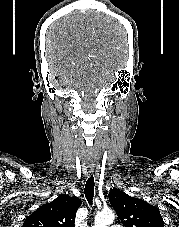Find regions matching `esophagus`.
Returning a JSON list of instances; mask_svg holds the SVG:
<instances>
[{
	"mask_svg": "<svg viewBox=\"0 0 179 227\" xmlns=\"http://www.w3.org/2000/svg\"><path fill=\"white\" fill-rule=\"evenodd\" d=\"M93 167L92 166H88V171H87V174L88 175H91L93 173Z\"/></svg>",
	"mask_w": 179,
	"mask_h": 227,
	"instance_id": "34e87169",
	"label": "esophagus"
}]
</instances>
